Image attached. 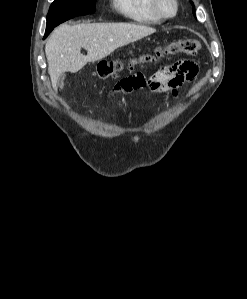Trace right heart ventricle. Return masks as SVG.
<instances>
[{
  "label": "right heart ventricle",
  "instance_id": "e07e8e85",
  "mask_svg": "<svg viewBox=\"0 0 247 299\" xmlns=\"http://www.w3.org/2000/svg\"><path fill=\"white\" fill-rule=\"evenodd\" d=\"M113 8L127 20L144 25H157L161 19L155 14L152 0H112Z\"/></svg>",
  "mask_w": 247,
  "mask_h": 299
}]
</instances>
